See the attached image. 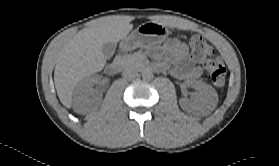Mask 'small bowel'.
Instances as JSON below:
<instances>
[{
    "mask_svg": "<svg viewBox=\"0 0 279 166\" xmlns=\"http://www.w3.org/2000/svg\"><path fill=\"white\" fill-rule=\"evenodd\" d=\"M166 59L176 65L174 74L180 77L196 78L201 74L200 68L194 64L189 49L186 44L178 39H170L162 48V53ZM162 68V64H157Z\"/></svg>",
    "mask_w": 279,
    "mask_h": 166,
    "instance_id": "small-bowel-1",
    "label": "small bowel"
}]
</instances>
